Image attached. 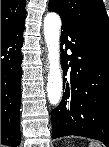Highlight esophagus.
Listing matches in <instances>:
<instances>
[{"label": "esophagus", "instance_id": "34e87169", "mask_svg": "<svg viewBox=\"0 0 109 147\" xmlns=\"http://www.w3.org/2000/svg\"><path fill=\"white\" fill-rule=\"evenodd\" d=\"M45 68L47 69L48 68V63L46 62V64H45Z\"/></svg>", "mask_w": 109, "mask_h": 147}]
</instances>
